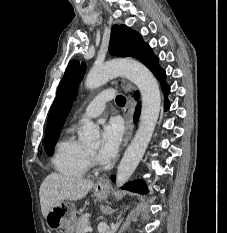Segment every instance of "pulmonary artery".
I'll use <instances>...</instances> for the list:
<instances>
[{"instance_id":"e3ab8cb5","label":"pulmonary artery","mask_w":227,"mask_h":233,"mask_svg":"<svg viewBox=\"0 0 227 233\" xmlns=\"http://www.w3.org/2000/svg\"><path fill=\"white\" fill-rule=\"evenodd\" d=\"M114 96L112 90H104L96 95L91 102L88 104L86 109L83 112V117L92 119L101 115L104 110L106 103L110 101Z\"/></svg>"}]
</instances>
